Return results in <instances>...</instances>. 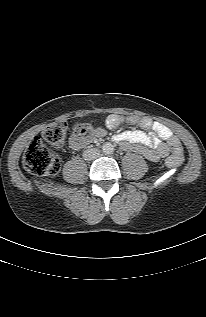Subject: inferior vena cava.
Listing matches in <instances>:
<instances>
[{
  "instance_id": "602c4592",
  "label": "inferior vena cava",
  "mask_w": 206,
  "mask_h": 317,
  "mask_svg": "<svg viewBox=\"0 0 206 317\" xmlns=\"http://www.w3.org/2000/svg\"><path fill=\"white\" fill-rule=\"evenodd\" d=\"M100 155V150L97 148H89L87 150L84 151L83 153V158L85 160H94L96 159L98 156Z\"/></svg>"
}]
</instances>
